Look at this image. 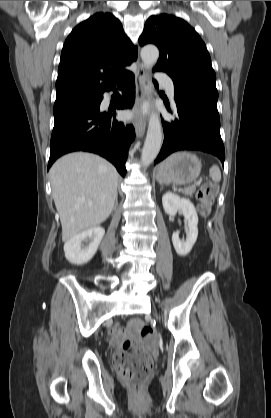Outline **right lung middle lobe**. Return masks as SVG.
<instances>
[{"label":"right lung middle lobe","mask_w":271,"mask_h":418,"mask_svg":"<svg viewBox=\"0 0 271 418\" xmlns=\"http://www.w3.org/2000/svg\"><path fill=\"white\" fill-rule=\"evenodd\" d=\"M98 100H99V97H92V98L75 99V100L55 103L54 104V115L63 111V110H65V109L76 107V106H81V105H85V104H89V103H93V102H96Z\"/></svg>","instance_id":"obj_1"}]
</instances>
